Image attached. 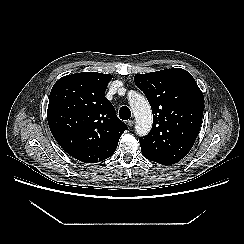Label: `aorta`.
<instances>
[{"mask_svg":"<svg viewBox=\"0 0 244 244\" xmlns=\"http://www.w3.org/2000/svg\"><path fill=\"white\" fill-rule=\"evenodd\" d=\"M129 104L136 119L135 130L139 136L149 133L152 127V111L147 99L138 93L129 98Z\"/></svg>","mask_w":244,"mask_h":244,"instance_id":"1","label":"aorta"}]
</instances>
